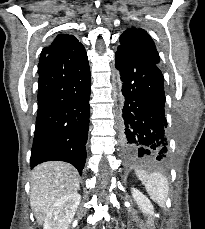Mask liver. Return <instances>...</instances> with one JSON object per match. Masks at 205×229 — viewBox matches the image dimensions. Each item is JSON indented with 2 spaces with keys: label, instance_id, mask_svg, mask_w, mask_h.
<instances>
[{
  "label": "liver",
  "instance_id": "obj_1",
  "mask_svg": "<svg viewBox=\"0 0 205 229\" xmlns=\"http://www.w3.org/2000/svg\"><path fill=\"white\" fill-rule=\"evenodd\" d=\"M30 206L41 224L50 206L62 197L79 190L77 170L65 162H45L36 166L30 177Z\"/></svg>",
  "mask_w": 205,
  "mask_h": 229
}]
</instances>
